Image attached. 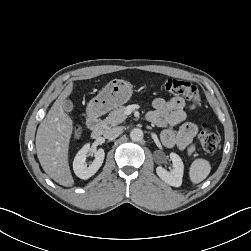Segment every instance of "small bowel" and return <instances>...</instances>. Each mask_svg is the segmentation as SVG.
I'll return each instance as SVG.
<instances>
[{"mask_svg":"<svg viewBox=\"0 0 251 251\" xmlns=\"http://www.w3.org/2000/svg\"><path fill=\"white\" fill-rule=\"evenodd\" d=\"M153 108L154 110L147 114V120L159 127H166L161 134L162 144L167 148L177 147L192 152L198 128L196 124L186 121L184 99L156 98L153 101ZM175 127L178 129L175 130Z\"/></svg>","mask_w":251,"mask_h":251,"instance_id":"small-bowel-1","label":"small bowel"}]
</instances>
